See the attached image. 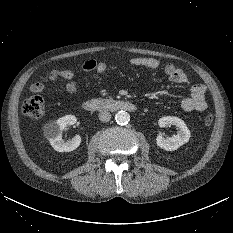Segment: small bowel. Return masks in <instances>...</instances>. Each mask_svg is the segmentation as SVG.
I'll return each mask as SVG.
<instances>
[{"label":"small bowel","instance_id":"1","mask_svg":"<svg viewBox=\"0 0 233 233\" xmlns=\"http://www.w3.org/2000/svg\"><path fill=\"white\" fill-rule=\"evenodd\" d=\"M129 62L134 66L157 69L160 63L157 59L151 57H132ZM82 70L89 72L94 71L98 74H104L107 71V65L104 61L88 59L82 65ZM165 74L176 84H183L188 81L187 74L180 68L168 64L164 68ZM75 72L71 69L54 68L50 70L47 76L30 87L35 94L43 93L49 82L65 79L67 80L66 90L69 94L77 92V83L75 81ZM181 107L185 112H203L207 109L206 87L203 84H196L191 87L190 95L185 97L181 102Z\"/></svg>","mask_w":233,"mask_h":233}]
</instances>
